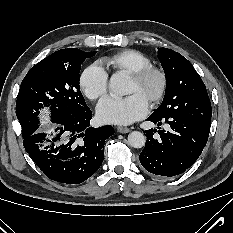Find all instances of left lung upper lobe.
Here are the masks:
<instances>
[{"instance_id":"1","label":"left lung upper lobe","mask_w":233,"mask_h":233,"mask_svg":"<svg viewBox=\"0 0 233 233\" xmlns=\"http://www.w3.org/2000/svg\"><path fill=\"white\" fill-rule=\"evenodd\" d=\"M166 76V90L161 105L151 115L187 114L211 121L212 108L206 87L192 64L181 54L158 48Z\"/></svg>"}]
</instances>
